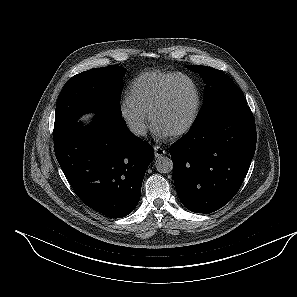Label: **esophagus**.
Listing matches in <instances>:
<instances>
[{"label": "esophagus", "mask_w": 297, "mask_h": 297, "mask_svg": "<svg viewBox=\"0 0 297 297\" xmlns=\"http://www.w3.org/2000/svg\"><path fill=\"white\" fill-rule=\"evenodd\" d=\"M166 154V151L164 148L160 146H154V155L156 158L161 157Z\"/></svg>", "instance_id": "esophagus-1"}]
</instances>
